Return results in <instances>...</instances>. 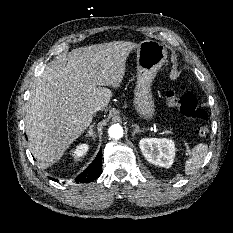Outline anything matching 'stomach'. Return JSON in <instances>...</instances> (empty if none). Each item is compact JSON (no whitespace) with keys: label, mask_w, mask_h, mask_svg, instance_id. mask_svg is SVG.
<instances>
[{"label":"stomach","mask_w":233,"mask_h":233,"mask_svg":"<svg viewBox=\"0 0 233 233\" xmlns=\"http://www.w3.org/2000/svg\"><path fill=\"white\" fill-rule=\"evenodd\" d=\"M166 58L165 46L155 40H144L136 48L137 81L133 104L137 113L144 119L151 120L156 115L151 85Z\"/></svg>","instance_id":"1"}]
</instances>
